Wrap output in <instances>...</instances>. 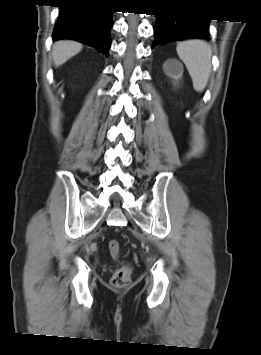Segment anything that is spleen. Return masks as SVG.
Returning <instances> with one entry per match:
<instances>
[{
  "label": "spleen",
  "instance_id": "3e777b00",
  "mask_svg": "<svg viewBox=\"0 0 261 355\" xmlns=\"http://www.w3.org/2000/svg\"><path fill=\"white\" fill-rule=\"evenodd\" d=\"M176 50L187 67L195 91L202 92L208 84L212 69L211 47L201 40H189L178 43Z\"/></svg>",
  "mask_w": 261,
  "mask_h": 355
}]
</instances>
